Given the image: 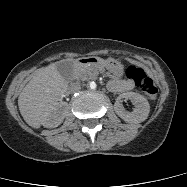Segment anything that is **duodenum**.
<instances>
[{
  "label": "duodenum",
  "mask_w": 187,
  "mask_h": 187,
  "mask_svg": "<svg viewBox=\"0 0 187 187\" xmlns=\"http://www.w3.org/2000/svg\"><path fill=\"white\" fill-rule=\"evenodd\" d=\"M93 61L94 60L92 58H89V57L79 58L73 64L74 70H78L82 66L87 65L89 63H92Z\"/></svg>",
  "instance_id": "duodenum-1"
}]
</instances>
